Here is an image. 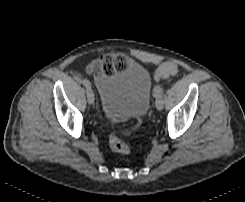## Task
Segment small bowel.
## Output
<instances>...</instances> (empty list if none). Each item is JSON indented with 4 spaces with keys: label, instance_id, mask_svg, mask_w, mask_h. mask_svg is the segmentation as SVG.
<instances>
[{
    "label": "small bowel",
    "instance_id": "obj_1",
    "mask_svg": "<svg viewBox=\"0 0 245 202\" xmlns=\"http://www.w3.org/2000/svg\"><path fill=\"white\" fill-rule=\"evenodd\" d=\"M154 79H155L156 81L159 80V77L157 76V74L154 76Z\"/></svg>",
    "mask_w": 245,
    "mask_h": 202
}]
</instances>
